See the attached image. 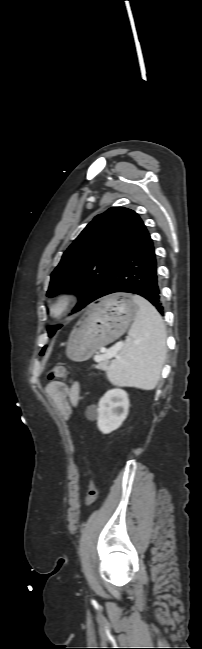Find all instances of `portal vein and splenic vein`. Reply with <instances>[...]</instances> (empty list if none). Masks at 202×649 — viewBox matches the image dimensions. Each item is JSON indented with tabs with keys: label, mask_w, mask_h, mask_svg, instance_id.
<instances>
[{
	"label": "portal vein and splenic vein",
	"mask_w": 202,
	"mask_h": 649,
	"mask_svg": "<svg viewBox=\"0 0 202 649\" xmlns=\"http://www.w3.org/2000/svg\"><path fill=\"white\" fill-rule=\"evenodd\" d=\"M118 347H121V343L118 345ZM116 355V350H109L106 354L98 355L95 356V360L97 362H100L104 359H111Z\"/></svg>",
	"instance_id": "obj_1"
}]
</instances>
